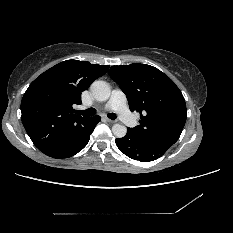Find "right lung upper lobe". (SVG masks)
<instances>
[{
  "instance_id": "cb5924a9",
  "label": "right lung upper lobe",
  "mask_w": 233,
  "mask_h": 233,
  "mask_svg": "<svg viewBox=\"0 0 233 233\" xmlns=\"http://www.w3.org/2000/svg\"><path fill=\"white\" fill-rule=\"evenodd\" d=\"M109 66L66 60L42 73L26 90L22 123L34 145L43 153L65 141L88 119L74 114L81 92L103 76Z\"/></svg>"
}]
</instances>
